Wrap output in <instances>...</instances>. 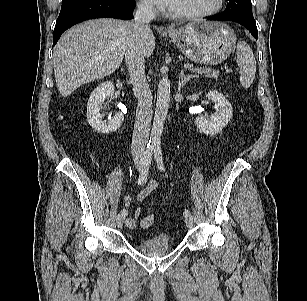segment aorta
<instances>
[{"label":"aorta","mask_w":307,"mask_h":301,"mask_svg":"<svg viewBox=\"0 0 307 301\" xmlns=\"http://www.w3.org/2000/svg\"><path fill=\"white\" fill-rule=\"evenodd\" d=\"M170 103V81L166 75H163L158 84L156 109L153 120V127L150 134L149 146L159 148L164 123L167 117Z\"/></svg>","instance_id":"1"}]
</instances>
